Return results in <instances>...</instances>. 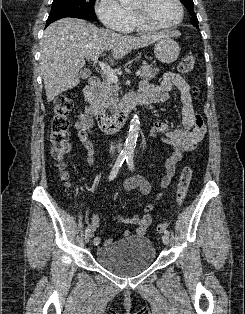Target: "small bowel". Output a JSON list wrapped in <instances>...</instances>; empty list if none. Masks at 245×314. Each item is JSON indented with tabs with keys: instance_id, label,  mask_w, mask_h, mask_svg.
I'll return each mask as SVG.
<instances>
[{
	"instance_id": "obj_1",
	"label": "small bowel",
	"mask_w": 245,
	"mask_h": 314,
	"mask_svg": "<svg viewBox=\"0 0 245 314\" xmlns=\"http://www.w3.org/2000/svg\"><path fill=\"white\" fill-rule=\"evenodd\" d=\"M180 91L182 102V127L170 128L166 122L159 121L149 131L151 137L159 136L160 139L171 146L172 152L165 161V172L158 183V187L163 189L169 185L174 177L176 165L182 159L184 153L194 149L204 138L206 128L202 116L195 111L194 100L199 96L197 87L190 86L179 74L167 72L159 85H153L148 82L141 83L142 95L147 98L142 103L157 104L164 103L169 99V92L173 87ZM77 136L86 151V162L89 166L95 163V148L92 140V131L94 129V119L87 110L79 114V119L75 125ZM153 184L142 176H133L125 180L123 189L132 191L138 189L142 195H148L153 190ZM162 197L159 193L156 202ZM155 208V203L148 204L143 208V215L120 216L118 220L124 224H133L136 226L135 235L144 236L147 228L152 224L153 218L150 212ZM100 225L97 215L91 217V231L94 233ZM129 230L122 232L123 237L130 236ZM102 242L100 237L94 238L96 245ZM112 242L107 239L105 243Z\"/></svg>"
}]
</instances>
